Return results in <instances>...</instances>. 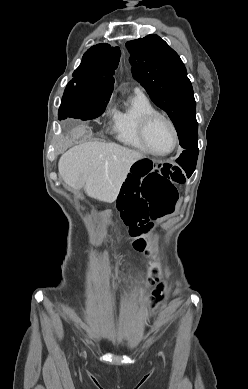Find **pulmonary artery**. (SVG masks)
Returning <instances> with one entry per match:
<instances>
[{"instance_id": "obj_1", "label": "pulmonary artery", "mask_w": 248, "mask_h": 389, "mask_svg": "<svg viewBox=\"0 0 248 389\" xmlns=\"http://www.w3.org/2000/svg\"><path fill=\"white\" fill-rule=\"evenodd\" d=\"M134 91H135V93L141 94V95H144V92H145L144 89L140 86L135 87Z\"/></svg>"}]
</instances>
